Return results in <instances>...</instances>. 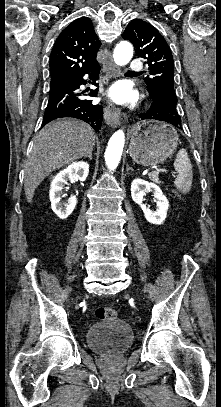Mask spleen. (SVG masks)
<instances>
[{
    "label": "spleen",
    "mask_w": 221,
    "mask_h": 407,
    "mask_svg": "<svg viewBox=\"0 0 221 407\" xmlns=\"http://www.w3.org/2000/svg\"><path fill=\"white\" fill-rule=\"evenodd\" d=\"M174 167L178 175L174 181L175 187L183 194L191 190L193 173L192 165L185 149H180L174 161Z\"/></svg>",
    "instance_id": "spleen-1"
}]
</instances>
